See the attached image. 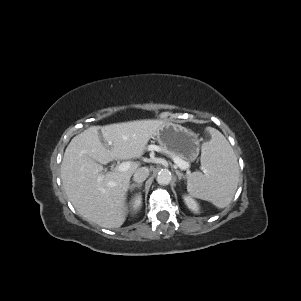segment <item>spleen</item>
I'll list each match as a JSON object with an SVG mask.
<instances>
[{
	"instance_id": "3e777b00",
	"label": "spleen",
	"mask_w": 301,
	"mask_h": 301,
	"mask_svg": "<svg viewBox=\"0 0 301 301\" xmlns=\"http://www.w3.org/2000/svg\"><path fill=\"white\" fill-rule=\"evenodd\" d=\"M211 140L203 143L201 165L203 173L194 172L188 179V193L206 200L218 208L233 199L239 181V166L232 147L216 129H208Z\"/></svg>"
}]
</instances>
